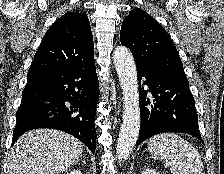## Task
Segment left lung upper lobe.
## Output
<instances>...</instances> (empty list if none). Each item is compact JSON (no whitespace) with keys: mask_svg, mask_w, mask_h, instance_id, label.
I'll use <instances>...</instances> for the list:
<instances>
[{"mask_svg":"<svg viewBox=\"0 0 224 174\" xmlns=\"http://www.w3.org/2000/svg\"><path fill=\"white\" fill-rule=\"evenodd\" d=\"M120 38L122 45L131 49L136 67L186 77L171 38L142 9L131 10L123 20Z\"/></svg>","mask_w":224,"mask_h":174,"instance_id":"left-lung-upper-lobe-1","label":"left lung upper lobe"}]
</instances>
